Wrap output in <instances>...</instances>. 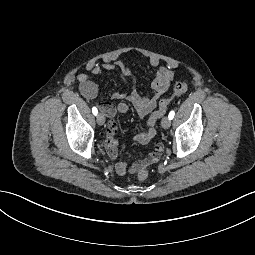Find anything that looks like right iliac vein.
Listing matches in <instances>:
<instances>
[{
    "mask_svg": "<svg viewBox=\"0 0 255 255\" xmlns=\"http://www.w3.org/2000/svg\"><path fill=\"white\" fill-rule=\"evenodd\" d=\"M104 122H105V117H104V115H103L102 113H99V114L97 115V123L101 126V125L104 124Z\"/></svg>",
    "mask_w": 255,
    "mask_h": 255,
    "instance_id": "63e3f726",
    "label": "right iliac vein"
}]
</instances>
